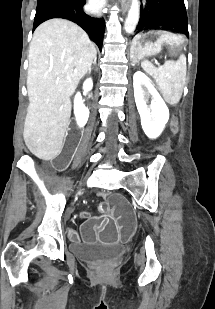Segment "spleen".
Here are the masks:
<instances>
[{
  "label": "spleen",
  "mask_w": 215,
  "mask_h": 309,
  "mask_svg": "<svg viewBox=\"0 0 215 309\" xmlns=\"http://www.w3.org/2000/svg\"><path fill=\"white\" fill-rule=\"evenodd\" d=\"M141 66L155 78L164 100L175 106L181 98L184 80L179 60H166L159 68H156L150 60H142Z\"/></svg>",
  "instance_id": "1"
}]
</instances>
